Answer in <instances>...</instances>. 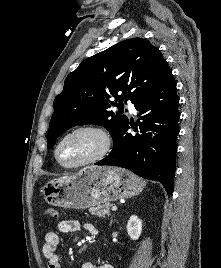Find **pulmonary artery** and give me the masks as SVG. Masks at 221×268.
<instances>
[{
  "mask_svg": "<svg viewBox=\"0 0 221 268\" xmlns=\"http://www.w3.org/2000/svg\"><path fill=\"white\" fill-rule=\"evenodd\" d=\"M127 107H128V109H129V111L131 113H135L136 112L135 106L131 102H128L127 103Z\"/></svg>",
  "mask_w": 221,
  "mask_h": 268,
  "instance_id": "1",
  "label": "pulmonary artery"
}]
</instances>
